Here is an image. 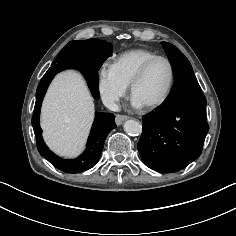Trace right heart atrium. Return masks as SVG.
Masks as SVG:
<instances>
[{"instance_id":"d8ad5b80","label":"right heart atrium","mask_w":236,"mask_h":236,"mask_svg":"<svg viewBox=\"0 0 236 236\" xmlns=\"http://www.w3.org/2000/svg\"><path fill=\"white\" fill-rule=\"evenodd\" d=\"M97 88L108 106H115L126 95L128 86L118 77L112 65L104 64L97 74Z\"/></svg>"}]
</instances>
